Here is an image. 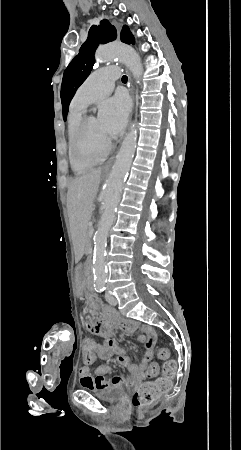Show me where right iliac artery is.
<instances>
[{"label":"right iliac artery","mask_w":241,"mask_h":450,"mask_svg":"<svg viewBox=\"0 0 241 450\" xmlns=\"http://www.w3.org/2000/svg\"><path fill=\"white\" fill-rule=\"evenodd\" d=\"M96 290L97 292H103L105 290V287H97Z\"/></svg>","instance_id":"1"}]
</instances>
